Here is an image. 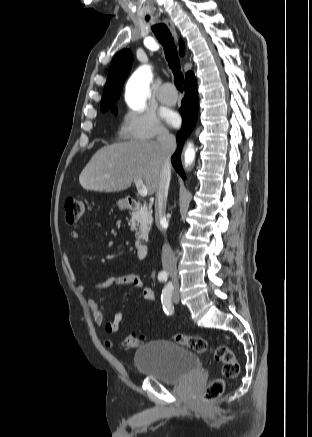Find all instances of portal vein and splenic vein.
I'll return each mask as SVG.
<instances>
[{"label":"portal vein and splenic vein","mask_w":312,"mask_h":437,"mask_svg":"<svg viewBox=\"0 0 312 437\" xmlns=\"http://www.w3.org/2000/svg\"><path fill=\"white\" fill-rule=\"evenodd\" d=\"M134 183H135V185H136V188H137L138 194L141 195V196H143V197L147 196V194H148V190H147L146 186L143 184L142 179H140V178H135V179H134Z\"/></svg>","instance_id":"obj_1"}]
</instances>
